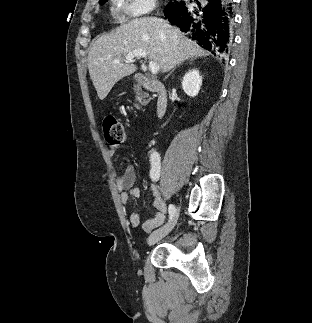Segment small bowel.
<instances>
[{
	"mask_svg": "<svg viewBox=\"0 0 312 323\" xmlns=\"http://www.w3.org/2000/svg\"><path fill=\"white\" fill-rule=\"evenodd\" d=\"M109 153L110 155H114L115 149H110ZM135 178V169L133 166H129L117 179V188L120 191V200L124 206L129 203L131 197L138 198L140 196L139 188L134 186ZM150 189L153 195L152 203L156 208V213L153 218L142 223L141 227L146 232H150L154 228L160 226L164 222L166 214V207L159 196L158 188L155 185H151ZM129 224L134 228L140 225V214L138 212H133L130 215Z\"/></svg>",
	"mask_w": 312,
	"mask_h": 323,
	"instance_id": "1",
	"label": "small bowel"
}]
</instances>
